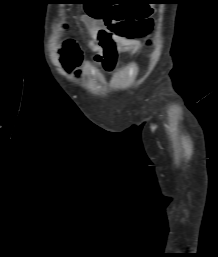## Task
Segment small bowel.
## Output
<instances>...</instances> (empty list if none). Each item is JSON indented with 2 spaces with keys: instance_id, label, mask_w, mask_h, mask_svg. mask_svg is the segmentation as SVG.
<instances>
[{
  "instance_id": "obj_1",
  "label": "small bowel",
  "mask_w": 218,
  "mask_h": 257,
  "mask_svg": "<svg viewBox=\"0 0 218 257\" xmlns=\"http://www.w3.org/2000/svg\"><path fill=\"white\" fill-rule=\"evenodd\" d=\"M83 30L87 33L90 57L103 64L104 73H118L117 59L119 54L134 55L141 47V41L137 38L120 36L106 25L101 19L91 16L82 17Z\"/></svg>"
}]
</instances>
